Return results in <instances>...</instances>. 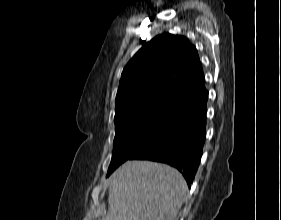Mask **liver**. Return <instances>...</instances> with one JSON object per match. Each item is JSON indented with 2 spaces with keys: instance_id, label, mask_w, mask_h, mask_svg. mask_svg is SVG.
<instances>
[{
  "instance_id": "6515ba94",
  "label": "liver",
  "mask_w": 281,
  "mask_h": 220,
  "mask_svg": "<svg viewBox=\"0 0 281 220\" xmlns=\"http://www.w3.org/2000/svg\"><path fill=\"white\" fill-rule=\"evenodd\" d=\"M108 215L103 220H176L188 192L175 168L127 161L109 178Z\"/></svg>"
}]
</instances>
